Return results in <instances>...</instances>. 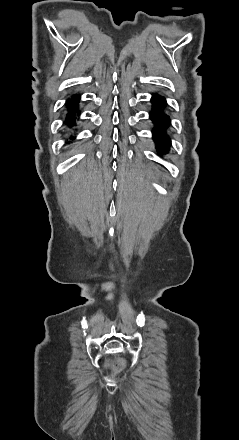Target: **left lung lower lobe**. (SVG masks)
I'll return each mask as SVG.
<instances>
[{"label":"left lung lower lobe","mask_w":239,"mask_h":440,"mask_svg":"<svg viewBox=\"0 0 239 440\" xmlns=\"http://www.w3.org/2000/svg\"><path fill=\"white\" fill-rule=\"evenodd\" d=\"M151 101L155 108V110L150 113V118L155 124L153 139L157 144L159 152L167 153L168 147L170 146V139L164 133V129L170 125V119L161 111V107L165 106L166 101L162 96L157 94H153Z\"/></svg>","instance_id":"obj_1"}]
</instances>
